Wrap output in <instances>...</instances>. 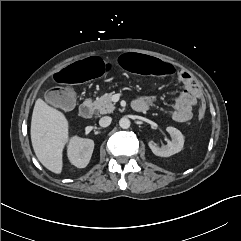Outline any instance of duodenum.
<instances>
[{
    "label": "duodenum",
    "instance_id": "duodenum-1",
    "mask_svg": "<svg viewBox=\"0 0 241 241\" xmlns=\"http://www.w3.org/2000/svg\"><path fill=\"white\" fill-rule=\"evenodd\" d=\"M132 109L135 112L143 113L147 110V107L141 102H133ZM79 114L82 118L88 119L92 116V105L90 102H83L79 107Z\"/></svg>",
    "mask_w": 241,
    "mask_h": 241
}]
</instances>
